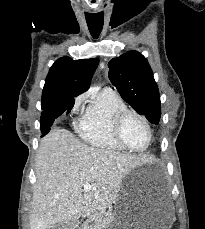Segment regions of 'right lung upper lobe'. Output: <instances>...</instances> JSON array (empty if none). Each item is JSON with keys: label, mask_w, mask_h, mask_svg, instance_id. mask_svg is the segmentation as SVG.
I'll list each match as a JSON object with an SVG mask.
<instances>
[{"label": "right lung upper lobe", "mask_w": 205, "mask_h": 229, "mask_svg": "<svg viewBox=\"0 0 205 229\" xmlns=\"http://www.w3.org/2000/svg\"><path fill=\"white\" fill-rule=\"evenodd\" d=\"M98 63L97 58L73 60L62 57L55 61L42 92L43 106L48 107L58 101L74 98L88 90Z\"/></svg>", "instance_id": "1"}]
</instances>
